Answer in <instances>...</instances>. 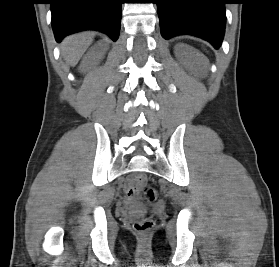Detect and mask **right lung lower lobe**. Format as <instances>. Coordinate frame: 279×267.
<instances>
[{"label":"right lung lower lobe","mask_w":279,"mask_h":267,"mask_svg":"<svg viewBox=\"0 0 279 267\" xmlns=\"http://www.w3.org/2000/svg\"><path fill=\"white\" fill-rule=\"evenodd\" d=\"M55 39L83 31L99 30L116 41L120 32L121 0H51Z\"/></svg>","instance_id":"1"}]
</instances>
